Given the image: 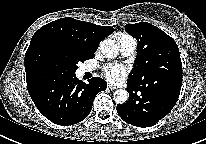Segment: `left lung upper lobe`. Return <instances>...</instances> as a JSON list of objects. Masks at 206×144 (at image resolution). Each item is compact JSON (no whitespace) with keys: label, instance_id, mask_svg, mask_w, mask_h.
Instances as JSON below:
<instances>
[{"label":"left lung upper lobe","instance_id":"left-lung-upper-lobe-1","mask_svg":"<svg viewBox=\"0 0 206 144\" xmlns=\"http://www.w3.org/2000/svg\"><path fill=\"white\" fill-rule=\"evenodd\" d=\"M125 30L138 41L128 80L148 87L181 86L182 63L176 42L147 22L127 24Z\"/></svg>","mask_w":206,"mask_h":144}]
</instances>
